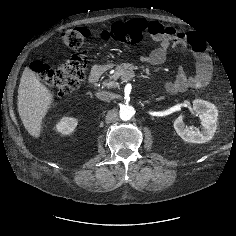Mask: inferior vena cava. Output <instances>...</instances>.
<instances>
[{
  "label": "inferior vena cava",
  "instance_id": "inferior-vena-cava-1",
  "mask_svg": "<svg viewBox=\"0 0 236 236\" xmlns=\"http://www.w3.org/2000/svg\"><path fill=\"white\" fill-rule=\"evenodd\" d=\"M96 97L102 101H110L113 99V94L108 91H100L96 93Z\"/></svg>",
  "mask_w": 236,
  "mask_h": 236
}]
</instances>
